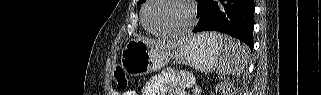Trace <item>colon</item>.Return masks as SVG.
<instances>
[{"label": "colon", "mask_w": 321, "mask_h": 95, "mask_svg": "<svg viewBox=\"0 0 321 95\" xmlns=\"http://www.w3.org/2000/svg\"><path fill=\"white\" fill-rule=\"evenodd\" d=\"M114 82L118 90H125L128 85L127 78L121 67H116L114 70Z\"/></svg>", "instance_id": "5ec220e1"}]
</instances>
